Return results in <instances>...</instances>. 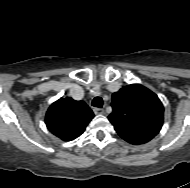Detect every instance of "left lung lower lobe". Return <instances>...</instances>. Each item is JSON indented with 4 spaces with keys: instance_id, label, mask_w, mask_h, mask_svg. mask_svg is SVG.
Here are the masks:
<instances>
[{
    "instance_id": "obj_1",
    "label": "left lung lower lobe",
    "mask_w": 190,
    "mask_h": 188,
    "mask_svg": "<svg viewBox=\"0 0 190 188\" xmlns=\"http://www.w3.org/2000/svg\"><path fill=\"white\" fill-rule=\"evenodd\" d=\"M115 130L125 141L135 145L147 143L154 138L148 134L135 133L126 129L115 128Z\"/></svg>"
}]
</instances>
